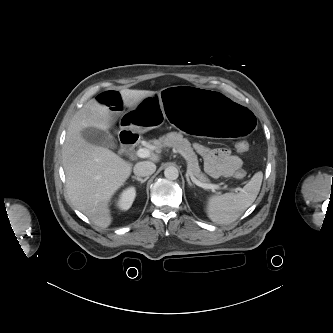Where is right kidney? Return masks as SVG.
<instances>
[{
	"label": "right kidney",
	"mask_w": 333,
	"mask_h": 333,
	"mask_svg": "<svg viewBox=\"0 0 333 333\" xmlns=\"http://www.w3.org/2000/svg\"><path fill=\"white\" fill-rule=\"evenodd\" d=\"M135 196L136 190L134 187H129L123 190L117 200L118 208L121 210H128L132 206Z\"/></svg>",
	"instance_id": "obj_1"
}]
</instances>
